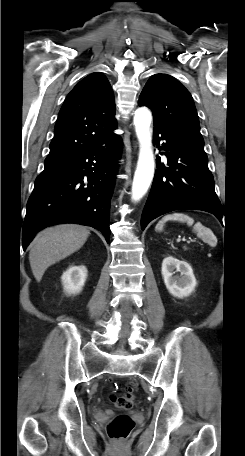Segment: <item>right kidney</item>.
<instances>
[{
	"instance_id": "right-kidney-1",
	"label": "right kidney",
	"mask_w": 245,
	"mask_h": 456,
	"mask_svg": "<svg viewBox=\"0 0 245 456\" xmlns=\"http://www.w3.org/2000/svg\"><path fill=\"white\" fill-rule=\"evenodd\" d=\"M87 277L85 266H71L63 273L61 280L68 294H77L82 290Z\"/></svg>"
}]
</instances>
